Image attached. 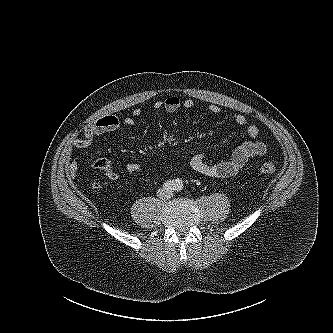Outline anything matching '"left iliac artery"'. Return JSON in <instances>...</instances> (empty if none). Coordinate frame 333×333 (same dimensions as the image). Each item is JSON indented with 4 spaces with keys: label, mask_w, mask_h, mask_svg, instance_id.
Masks as SVG:
<instances>
[{
    "label": "left iliac artery",
    "mask_w": 333,
    "mask_h": 333,
    "mask_svg": "<svg viewBox=\"0 0 333 333\" xmlns=\"http://www.w3.org/2000/svg\"><path fill=\"white\" fill-rule=\"evenodd\" d=\"M182 188H183V182H182V180L177 179L175 181V188H174V190L180 191Z\"/></svg>",
    "instance_id": "left-iliac-artery-1"
}]
</instances>
